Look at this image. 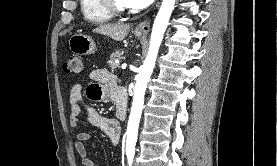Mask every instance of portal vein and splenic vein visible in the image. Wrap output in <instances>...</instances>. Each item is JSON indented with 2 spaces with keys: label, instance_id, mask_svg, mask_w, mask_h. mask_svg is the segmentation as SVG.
<instances>
[{
  "label": "portal vein and splenic vein",
  "instance_id": "18ae733b",
  "mask_svg": "<svg viewBox=\"0 0 277 166\" xmlns=\"http://www.w3.org/2000/svg\"><path fill=\"white\" fill-rule=\"evenodd\" d=\"M127 65L126 64H122L121 68L122 69H126Z\"/></svg>",
  "mask_w": 277,
  "mask_h": 166
}]
</instances>
